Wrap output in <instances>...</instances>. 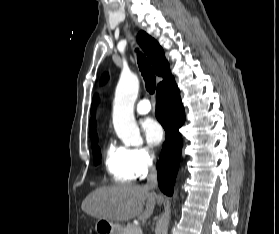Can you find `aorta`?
I'll return each mask as SVG.
<instances>
[{
    "label": "aorta",
    "instance_id": "aorta-1",
    "mask_svg": "<svg viewBox=\"0 0 279 234\" xmlns=\"http://www.w3.org/2000/svg\"><path fill=\"white\" fill-rule=\"evenodd\" d=\"M138 90V77L131 72L122 73L113 101V126L125 145H137L142 141L134 117V104Z\"/></svg>",
    "mask_w": 279,
    "mask_h": 234
}]
</instances>
